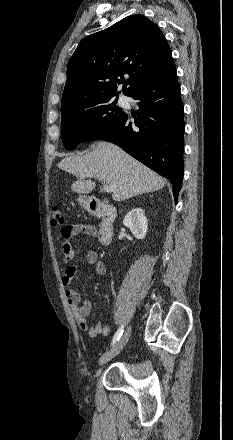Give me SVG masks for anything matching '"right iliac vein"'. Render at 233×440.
Returning <instances> with one entry per match:
<instances>
[{"label": "right iliac vein", "instance_id": "63e3f726", "mask_svg": "<svg viewBox=\"0 0 233 440\" xmlns=\"http://www.w3.org/2000/svg\"><path fill=\"white\" fill-rule=\"evenodd\" d=\"M130 334H131V326L127 328L124 335L119 339V341L114 345V347L101 356V358L99 359V365H103L107 363L116 355H118L121 352V350L124 348L126 343L128 342Z\"/></svg>", "mask_w": 233, "mask_h": 440}]
</instances>
